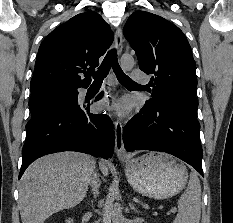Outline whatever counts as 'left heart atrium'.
Masks as SVG:
<instances>
[{"mask_svg": "<svg viewBox=\"0 0 233 223\" xmlns=\"http://www.w3.org/2000/svg\"><path fill=\"white\" fill-rule=\"evenodd\" d=\"M103 110L118 117H125L129 114L130 104L126 98H119L110 104H104Z\"/></svg>", "mask_w": 233, "mask_h": 223, "instance_id": "1", "label": "left heart atrium"}]
</instances>
